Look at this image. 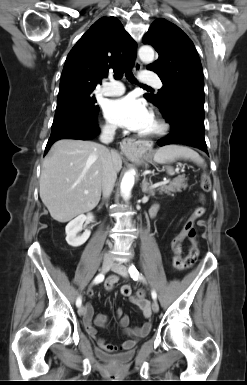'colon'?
<instances>
[{"label": "colon", "mask_w": 247, "mask_h": 385, "mask_svg": "<svg viewBox=\"0 0 247 385\" xmlns=\"http://www.w3.org/2000/svg\"><path fill=\"white\" fill-rule=\"evenodd\" d=\"M200 187H201V190L203 192H209L211 190V179L209 177V175L207 173H202L201 175V178H200ZM200 200L202 202L205 201V198L204 196L202 195L200 197ZM205 212V207L204 206H200L198 207L196 210H195V214L197 216H201L203 215ZM195 230L193 228V225L189 224V225H186L185 227V235L189 238V239H193L195 237ZM182 240H183V237L181 236H178L177 238H175L173 240V243H172V247H173V250H174V253H175V260H174V264L177 268H184V267H190V266H193L196 261H197V258H198V248L196 245H192L191 248H190V251H189V254L185 257V258H182L181 257V252H182ZM131 292V288L129 286H124L123 289H122V294L123 295H127Z\"/></svg>", "instance_id": "5ec220e1"}]
</instances>
